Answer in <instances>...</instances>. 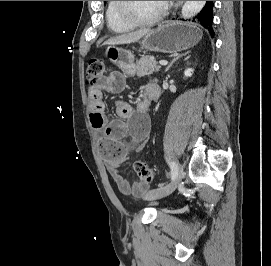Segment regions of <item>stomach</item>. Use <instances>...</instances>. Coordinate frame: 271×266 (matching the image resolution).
<instances>
[{"label": "stomach", "mask_w": 271, "mask_h": 266, "mask_svg": "<svg viewBox=\"0 0 271 266\" xmlns=\"http://www.w3.org/2000/svg\"><path fill=\"white\" fill-rule=\"evenodd\" d=\"M202 35V30L194 24L171 21L150 30L140 45L150 51L174 53L195 46ZM105 56L123 72L134 74L135 62L131 51L110 45L105 50Z\"/></svg>", "instance_id": "1"}]
</instances>
